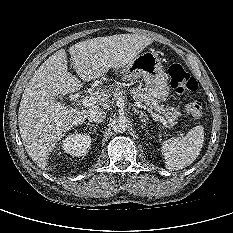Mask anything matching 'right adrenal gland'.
Here are the masks:
<instances>
[{
    "mask_svg": "<svg viewBox=\"0 0 233 233\" xmlns=\"http://www.w3.org/2000/svg\"><path fill=\"white\" fill-rule=\"evenodd\" d=\"M87 125L92 126V127H95V125H93V124H91V123H87Z\"/></svg>",
    "mask_w": 233,
    "mask_h": 233,
    "instance_id": "2a0ac1e0",
    "label": "right adrenal gland"
}]
</instances>
